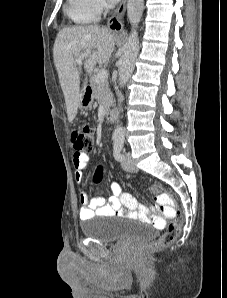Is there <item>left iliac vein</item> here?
<instances>
[{"label":"left iliac vein","instance_id":"left-iliac-vein-1","mask_svg":"<svg viewBox=\"0 0 227 298\" xmlns=\"http://www.w3.org/2000/svg\"><path fill=\"white\" fill-rule=\"evenodd\" d=\"M122 168L126 171L135 172L137 171L136 166L132 161V157L130 153H126L124 159L121 162Z\"/></svg>","mask_w":227,"mask_h":298}]
</instances>
